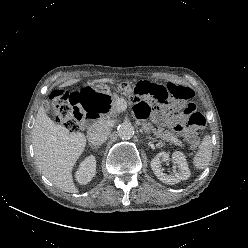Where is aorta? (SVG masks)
Here are the masks:
<instances>
[{"instance_id":"obj_1","label":"aorta","mask_w":248,"mask_h":248,"mask_svg":"<svg viewBox=\"0 0 248 248\" xmlns=\"http://www.w3.org/2000/svg\"><path fill=\"white\" fill-rule=\"evenodd\" d=\"M118 136L123 140H129L134 135V127L129 122H124L118 126Z\"/></svg>"}]
</instances>
